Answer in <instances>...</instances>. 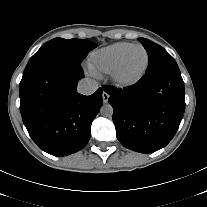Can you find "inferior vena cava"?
I'll list each match as a JSON object with an SVG mask.
<instances>
[{
	"label": "inferior vena cava",
	"instance_id": "1",
	"mask_svg": "<svg viewBox=\"0 0 207 207\" xmlns=\"http://www.w3.org/2000/svg\"><path fill=\"white\" fill-rule=\"evenodd\" d=\"M98 88V84L95 80L91 78H84L79 81L77 86V91L83 95H91Z\"/></svg>",
	"mask_w": 207,
	"mask_h": 207
}]
</instances>
